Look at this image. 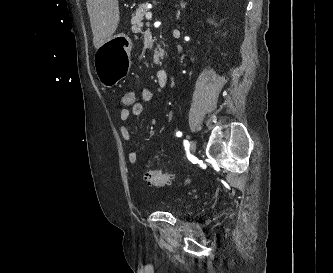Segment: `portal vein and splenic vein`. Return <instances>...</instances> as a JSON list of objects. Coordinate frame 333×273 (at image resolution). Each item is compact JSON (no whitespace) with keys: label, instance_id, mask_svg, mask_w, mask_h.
<instances>
[{"label":"portal vein and splenic vein","instance_id":"1","mask_svg":"<svg viewBox=\"0 0 333 273\" xmlns=\"http://www.w3.org/2000/svg\"><path fill=\"white\" fill-rule=\"evenodd\" d=\"M152 18V13L151 12H148L147 14H146V19L147 20H150Z\"/></svg>","mask_w":333,"mask_h":273}]
</instances>
